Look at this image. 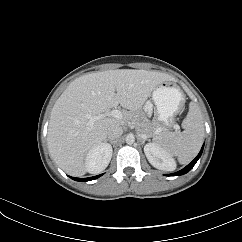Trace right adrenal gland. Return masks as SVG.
Here are the masks:
<instances>
[{
    "instance_id": "1",
    "label": "right adrenal gland",
    "mask_w": 242,
    "mask_h": 242,
    "mask_svg": "<svg viewBox=\"0 0 242 242\" xmlns=\"http://www.w3.org/2000/svg\"><path fill=\"white\" fill-rule=\"evenodd\" d=\"M106 141H109L111 144H115V142H116V141L110 140V139H106Z\"/></svg>"
}]
</instances>
